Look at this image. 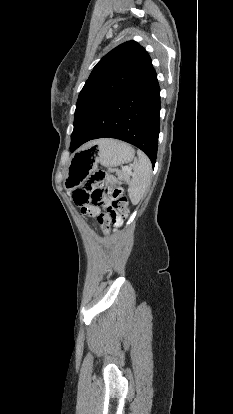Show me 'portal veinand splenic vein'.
<instances>
[{"mask_svg":"<svg viewBox=\"0 0 233 414\" xmlns=\"http://www.w3.org/2000/svg\"><path fill=\"white\" fill-rule=\"evenodd\" d=\"M122 170H123V171H127V172H129V173H132V172H131V168L126 167V166H125V167H123V168H122Z\"/></svg>","mask_w":233,"mask_h":414,"instance_id":"obj_1","label":"portal vein and splenic vein"}]
</instances>
